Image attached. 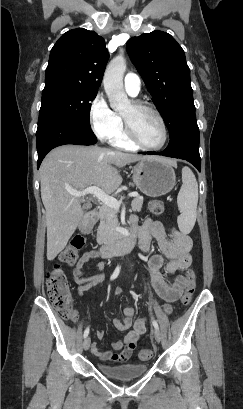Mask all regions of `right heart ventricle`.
I'll list each match as a JSON object with an SVG mask.
<instances>
[{"label": "right heart ventricle", "instance_id": "1", "mask_svg": "<svg viewBox=\"0 0 243 409\" xmlns=\"http://www.w3.org/2000/svg\"><path fill=\"white\" fill-rule=\"evenodd\" d=\"M113 143L116 147L125 150H133L135 148V145L128 139L126 133L123 131L113 140Z\"/></svg>", "mask_w": 243, "mask_h": 409}]
</instances>
